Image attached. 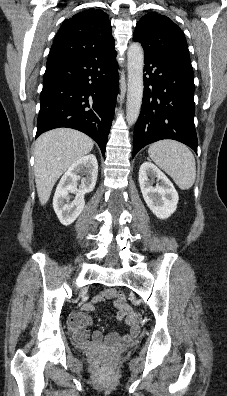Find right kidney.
<instances>
[{
  "instance_id": "obj_1",
  "label": "right kidney",
  "mask_w": 227,
  "mask_h": 396,
  "mask_svg": "<svg viewBox=\"0 0 227 396\" xmlns=\"http://www.w3.org/2000/svg\"><path fill=\"white\" fill-rule=\"evenodd\" d=\"M80 175L85 177L81 179ZM97 175V159L95 155L89 154L72 164L62 176L54 194L53 208L63 225H70L81 214L85 206L84 196L93 191ZM80 179L81 185L78 189L77 181ZM70 193L75 194L73 200Z\"/></svg>"
}]
</instances>
